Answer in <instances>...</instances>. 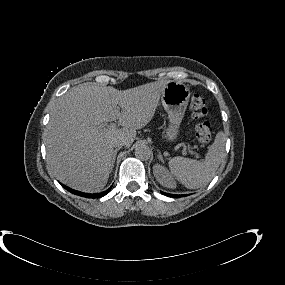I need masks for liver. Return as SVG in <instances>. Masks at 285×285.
<instances>
[{
	"instance_id": "obj_1",
	"label": "liver",
	"mask_w": 285,
	"mask_h": 285,
	"mask_svg": "<svg viewBox=\"0 0 285 285\" xmlns=\"http://www.w3.org/2000/svg\"><path fill=\"white\" fill-rule=\"evenodd\" d=\"M168 82L123 91L82 84L62 95L45 131L47 164L56 178L83 192L103 189L111 172L114 141L124 139L127 147L132 145L136 130L153 118ZM115 120L123 128L105 126Z\"/></svg>"
}]
</instances>
